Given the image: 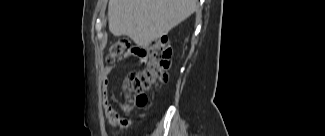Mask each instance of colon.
<instances>
[{
    "label": "colon",
    "mask_w": 325,
    "mask_h": 136,
    "mask_svg": "<svg viewBox=\"0 0 325 136\" xmlns=\"http://www.w3.org/2000/svg\"><path fill=\"white\" fill-rule=\"evenodd\" d=\"M130 49L131 44L128 39L123 38L114 42L109 48L107 62L113 64L125 58ZM145 51L147 53L146 67L129 85L130 91L136 95L135 102L138 106L146 104L148 91L167 80L171 66L172 50L166 38L152 42Z\"/></svg>",
    "instance_id": "colon-1"
}]
</instances>
